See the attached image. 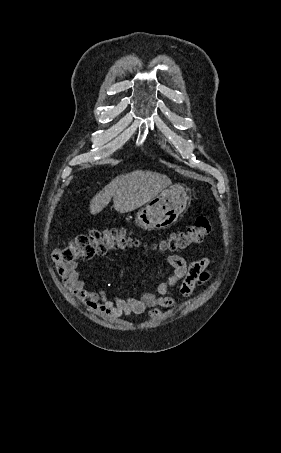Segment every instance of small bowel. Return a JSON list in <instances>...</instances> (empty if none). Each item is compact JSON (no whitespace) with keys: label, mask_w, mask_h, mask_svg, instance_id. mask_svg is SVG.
Instances as JSON below:
<instances>
[{"label":"small bowel","mask_w":281,"mask_h":453,"mask_svg":"<svg viewBox=\"0 0 281 453\" xmlns=\"http://www.w3.org/2000/svg\"><path fill=\"white\" fill-rule=\"evenodd\" d=\"M52 261L67 288L79 299L84 300L89 308L97 312L121 317L150 311L149 315L154 316L159 312L152 309H170L176 303L172 297L160 296L154 292H146L135 298L106 296L104 293L90 288L81 278L76 260L65 259L59 250H55L52 254ZM167 261L173 271L158 285V291L161 294L179 289L183 295L190 296L198 283L210 277V260L207 257L188 264L183 256L174 254L169 256Z\"/></svg>","instance_id":"c3829d8e"}]
</instances>
